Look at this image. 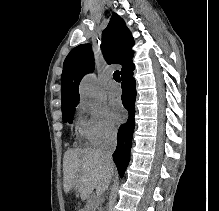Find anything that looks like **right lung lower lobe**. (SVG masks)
Segmentation results:
<instances>
[{"label": "right lung lower lobe", "instance_id": "obj_1", "mask_svg": "<svg viewBox=\"0 0 219 211\" xmlns=\"http://www.w3.org/2000/svg\"><path fill=\"white\" fill-rule=\"evenodd\" d=\"M134 64L127 67L122 73V102L129 112L128 120L121 125L117 135V148L113 153V159L117 166L120 177L124 176V172L130 161V148L132 144L133 130L135 126V79L133 78Z\"/></svg>", "mask_w": 219, "mask_h": 211}]
</instances>
